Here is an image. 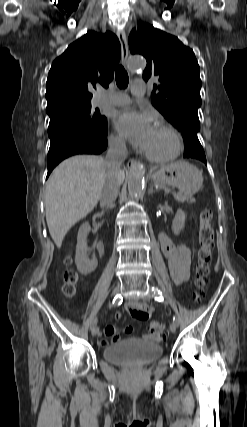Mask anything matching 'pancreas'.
I'll use <instances>...</instances> for the list:
<instances>
[{
	"mask_svg": "<svg viewBox=\"0 0 247 427\" xmlns=\"http://www.w3.org/2000/svg\"><path fill=\"white\" fill-rule=\"evenodd\" d=\"M174 196H175V198H176L177 200L182 201V202H184V201H188V200L190 199V197L185 196V195H184V194H182V193H177V194H175Z\"/></svg>",
	"mask_w": 247,
	"mask_h": 427,
	"instance_id": "pancreas-1",
	"label": "pancreas"
}]
</instances>
